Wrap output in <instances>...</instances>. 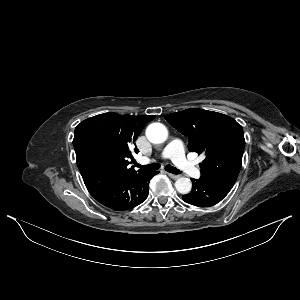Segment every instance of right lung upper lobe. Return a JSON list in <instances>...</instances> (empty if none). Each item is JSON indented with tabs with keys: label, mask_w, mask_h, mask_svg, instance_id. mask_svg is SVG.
Returning a JSON list of instances; mask_svg holds the SVG:
<instances>
[{
	"label": "right lung upper lobe",
	"mask_w": 300,
	"mask_h": 300,
	"mask_svg": "<svg viewBox=\"0 0 300 300\" xmlns=\"http://www.w3.org/2000/svg\"><path fill=\"white\" fill-rule=\"evenodd\" d=\"M154 118V115L132 116L117 113H104L88 118L75 128L73 145L76 156L79 154L81 140L87 139L91 151L105 167V181L102 185L143 172L135 171L129 164L134 159L132 152H139L134 147L135 140L145 124Z\"/></svg>",
	"instance_id": "cb5924a9"
}]
</instances>
